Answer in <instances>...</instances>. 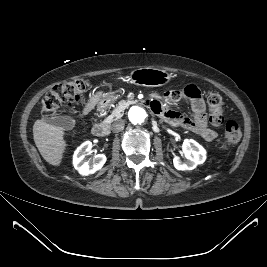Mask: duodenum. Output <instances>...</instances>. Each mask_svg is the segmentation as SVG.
<instances>
[{"instance_id": "410a0bca", "label": "duodenum", "mask_w": 267, "mask_h": 267, "mask_svg": "<svg viewBox=\"0 0 267 267\" xmlns=\"http://www.w3.org/2000/svg\"><path fill=\"white\" fill-rule=\"evenodd\" d=\"M108 130H109L108 125L101 121H95L92 126V133L98 137L107 135Z\"/></svg>"}]
</instances>
